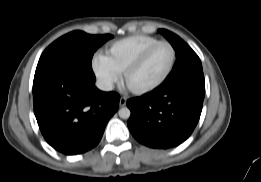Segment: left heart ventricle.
<instances>
[{
  "instance_id": "obj_1",
  "label": "left heart ventricle",
  "mask_w": 261,
  "mask_h": 182,
  "mask_svg": "<svg viewBox=\"0 0 261 182\" xmlns=\"http://www.w3.org/2000/svg\"><path fill=\"white\" fill-rule=\"evenodd\" d=\"M172 58V51L168 46L158 47L145 63L128 79L131 88H143L158 81L166 72Z\"/></svg>"
}]
</instances>
